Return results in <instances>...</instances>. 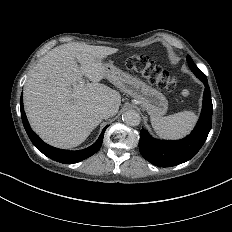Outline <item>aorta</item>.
<instances>
[{
  "label": "aorta",
  "mask_w": 232,
  "mask_h": 232,
  "mask_svg": "<svg viewBox=\"0 0 232 232\" xmlns=\"http://www.w3.org/2000/svg\"><path fill=\"white\" fill-rule=\"evenodd\" d=\"M123 121L130 126H138L141 121L139 113L135 110H128L123 114Z\"/></svg>",
  "instance_id": "762f6f07"
}]
</instances>
